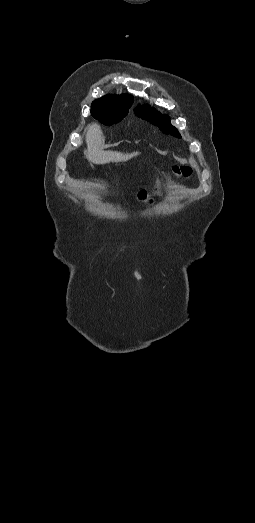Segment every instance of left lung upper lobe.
<instances>
[{
    "instance_id": "obj_1",
    "label": "left lung upper lobe",
    "mask_w": 255,
    "mask_h": 523,
    "mask_svg": "<svg viewBox=\"0 0 255 523\" xmlns=\"http://www.w3.org/2000/svg\"><path fill=\"white\" fill-rule=\"evenodd\" d=\"M138 116H141L143 119H147L151 123L158 125L160 129L167 134H171L176 137H181L177 129L171 125L169 117L166 115H160L158 112H155L152 108L144 105L142 107H137L135 110Z\"/></svg>"
}]
</instances>
